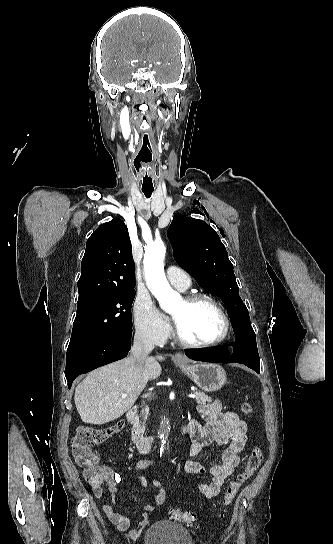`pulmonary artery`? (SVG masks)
<instances>
[{
  "instance_id": "e3ab8cb5",
  "label": "pulmonary artery",
  "mask_w": 333,
  "mask_h": 544,
  "mask_svg": "<svg viewBox=\"0 0 333 544\" xmlns=\"http://www.w3.org/2000/svg\"><path fill=\"white\" fill-rule=\"evenodd\" d=\"M166 276L170 284L181 291L187 290L191 285L188 273L179 267L169 266Z\"/></svg>"
}]
</instances>
